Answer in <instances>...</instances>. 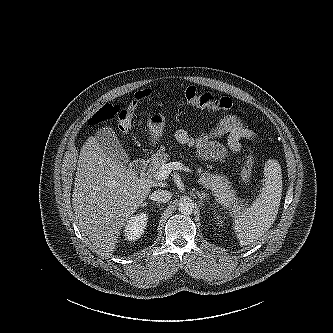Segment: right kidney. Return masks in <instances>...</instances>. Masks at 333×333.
Here are the masks:
<instances>
[{
	"mask_svg": "<svg viewBox=\"0 0 333 333\" xmlns=\"http://www.w3.org/2000/svg\"><path fill=\"white\" fill-rule=\"evenodd\" d=\"M148 215L144 212L131 217L125 225L124 234L126 240L135 241L139 239L147 225Z\"/></svg>",
	"mask_w": 333,
	"mask_h": 333,
	"instance_id": "1",
	"label": "right kidney"
}]
</instances>
